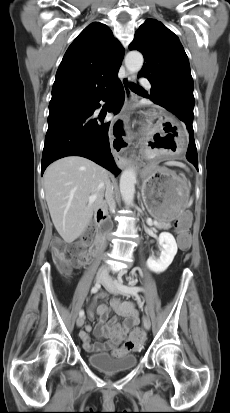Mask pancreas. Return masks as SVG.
I'll return each instance as SVG.
<instances>
[{
  "mask_svg": "<svg viewBox=\"0 0 230 413\" xmlns=\"http://www.w3.org/2000/svg\"><path fill=\"white\" fill-rule=\"evenodd\" d=\"M155 226H156L157 228H160V229H170V228H171L170 221L157 222V223L155 224Z\"/></svg>",
  "mask_w": 230,
  "mask_h": 413,
  "instance_id": "pancreas-1",
  "label": "pancreas"
}]
</instances>
